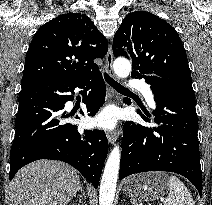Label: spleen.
Returning a JSON list of instances; mask_svg holds the SVG:
<instances>
[{
    "label": "spleen",
    "mask_w": 212,
    "mask_h": 205,
    "mask_svg": "<svg viewBox=\"0 0 212 205\" xmlns=\"http://www.w3.org/2000/svg\"><path fill=\"white\" fill-rule=\"evenodd\" d=\"M169 194L164 205H195L194 199L185 184L176 176H170Z\"/></svg>",
    "instance_id": "obj_1"
}]
</instances>
